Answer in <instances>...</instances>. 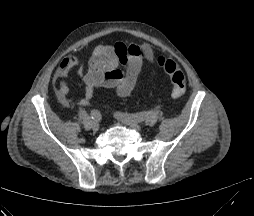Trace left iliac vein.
<instances>
[{"mask_svg": "<svg viewBox=\"0 0 254 216\" xmlns=\"http://www.w3.org/2000/svg\"><path fill=\"white\" fill-rule=\"evenodd\" d=\"M116 118L119 121H121L123 124L129 126L130 128H132L134 130H140L141 129V125L137 121L131 119L130 117H128L125 114H118L116 116Z\"/></svg>", "mask_w": 254, "mask_h": 216, "instance_id": "obj_1", "label": "left iliac vein"}]
</instances>
